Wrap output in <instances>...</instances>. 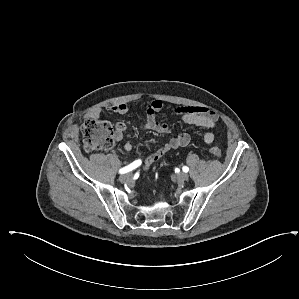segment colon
I'll return each instance as SVG.
<instances>
[{
	"label": "colon",
	"instance_id": "colon-1",
	"mask_svg": "<svg viewBox=\"0 0 299 299\" xmlns=\"http://www.w3.org/2000/svg\"><path fill=\"white\" fill-rule=\"evenodd\" d=\"M84 149L87 152L110 150L114 146L112 125L105 120L90 119L82 125ZM209 152L221 158L222 152L217 146H210Z\"/></svg>",
	"mask_w": 299,
	"mask_h": 299
}]
</instances>
